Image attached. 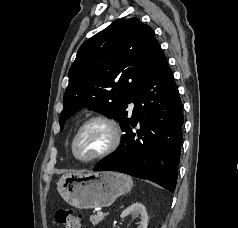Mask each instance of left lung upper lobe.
Masks as SVG:
<instances>
[{"label": "left lung upper lobe", "instance_id": "obj_1", "mask_svg": "<svg viewBox=\"0 0 238 228\" xmlns=\"http://www.w3.org/2000/svg\"><path fill=\"white\" fill-rule=\"evenodd\" d=\"M160 46L151 27L119 19L85 43L69 70L59 123L84 107L123 122L143 75Z\"/></svg>", "mask_w": 238, "mask_h": 228}]
</instances>
